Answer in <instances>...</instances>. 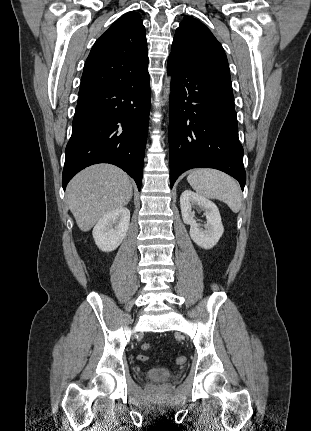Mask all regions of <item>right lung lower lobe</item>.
<instances>
[{
	"label": "right lung lower lobe",
	"mask_w": 311,
	"mask_h": 431,
	"mask_svg": "<svg viewBox=\"0 0 311 431\" xmlns=\"http://www.w3.org/2000/svg\"><path fill=\"white\" fill-rule=\"evenodd\" d=\"M150 111L147 69L125 83L79 94L65 150L62 185L83 168L111 163L141 189Z\"/></svg>",
	"instance_id": "obj_1"
}]
</instances>
